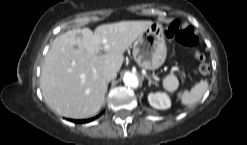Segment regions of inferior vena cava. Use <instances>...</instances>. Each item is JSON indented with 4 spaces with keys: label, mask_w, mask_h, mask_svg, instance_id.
Here are the masks:
<instances>
[{
    "label": "inferior vena cava",
    "mask_w": 247,
    "mask_h": 145,
    "mask_svg": "<svg viewBox=\"0 0 247 145\" xmlns=\"http://www.w3.org/2000/svg\"><path fill=\"white\" fill-rule=\"evenodd\" d=\"M102 76H103V79H104L106 82H109V81L113 80L114 78H116L117 72H116L114 69L105 68V69L102 71Z\"/></svg>",
    "instance_id": "inferior-vena-cava-1"
}]
</instances>
